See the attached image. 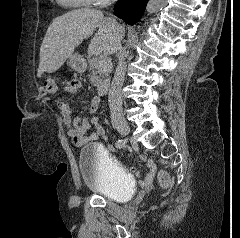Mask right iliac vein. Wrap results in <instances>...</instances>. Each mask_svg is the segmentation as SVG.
<instances>
[{
	"label": "right iliac vein",
	"instance_id": "right-iliac-vein-1",
	"mask_svg": "<svg viewBox=\"0 0 240 238\" xmlns=\"http://www.w3.org/2000/svg\"><path fill=\"white\" fill-rule=\"evenodd\" d=\"M115 126L122 136H127L130 133V127L124 120L116 122Z\"/></svg>",
	"mask_w": 240,
	"mask_h": 238
}]
</instances>
